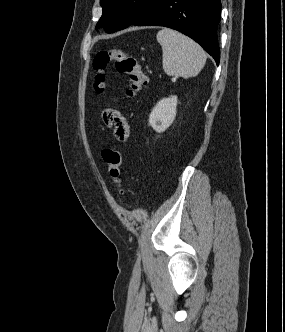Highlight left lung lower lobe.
Instances as JSON below:
<instances>
[{"instance_id": "0a47b994", "label": "left lung lower lobe", "mask_w": 285, "mask_h": 332, "mask_svg": "<svg viewBox=\"0 0 285 332\" xmlns=\"http://www.w3.org/2000/svg\"><path fill=\"white\" fill-rule=\"evenodd\" d=\"M220 13V0H155L131 25L165 26L180 31L199 43L218 65Z\"/></svg>"}]
</instances>
